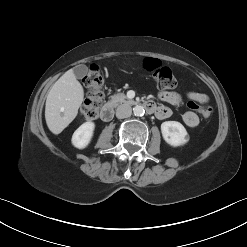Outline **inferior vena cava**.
I'll list each match as a JSON object with an SVG mask.
<instances>
[{
    "mask_svg": "<svg viewBox=\"0 0 247 247\" xmlns=\"http://www.w3.org/2000/svg\"><path fill=\"white\" fill-rule=\"evenodd\" d=\"M132 114V108L129 104H122L116 110V117L118 119L128 118Z\"/></svg>",
    "mask_w": 247,
    "mask_h": 247,
    "instance_id": "602c4592",
    "label": "inferior vena cava"
}]
</instances>
